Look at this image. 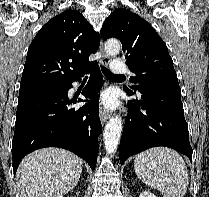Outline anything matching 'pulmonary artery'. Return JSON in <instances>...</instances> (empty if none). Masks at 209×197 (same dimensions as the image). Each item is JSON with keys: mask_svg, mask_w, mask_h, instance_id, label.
I'll return each instance as SVG.
<instances>
[{"mask_svg": "<svg viewBox=\"0 0 209 197\" xmlns=\"http://www.w3.org/2000/svg\"><path fill=\"white\" fill-rule=\"evenodd\" d=\"M112 71L115 74H132V72L130 71V69L126 66L125 62L123 59L121 58H116L113 62V64L111 65Z\"/></svg>", "mask_w": 209, "mask_h": 197, "instance_id": "e3ab8cb5", "label": "pulmonary artery"}]
</instances>
